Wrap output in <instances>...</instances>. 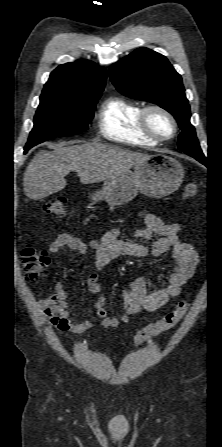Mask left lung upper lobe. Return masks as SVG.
<instances>
[{"label":"left lung upper lobe","mask_w":222,"mask_h":447,"mask_svg":"<svg viewBox=\"0 0 222 447\" xmlns=\"http://www.w3.org/2000/svg\"><path fill=\"white\" fill-rule=\"evenodd\" d=\"M110 78L123 95L157 104L170 112L182 130L179 149L190 156L204 157L190 123V106L181 76L165 56L147 48L136 49L110 67Z\"/></svg>","instance_id":"1"}]
</instances>
